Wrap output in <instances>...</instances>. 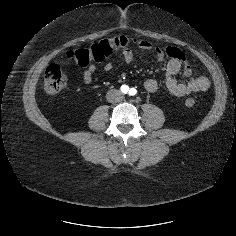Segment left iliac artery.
Returning <instances> with one entry per match:
<instances>
[{"instance_id":"44dca946","label":"left iliac artery","mask_w":236,"mask_h":236,"mask_svg":"<svg viewBox=\"0 0 236 236\" xmlns=\"http://www.w3.org/2000/svg\"><path fill=\"white\" fill-rule=\"evenodd\" d=\"M137 93V90L135 88H131L129 90V95L134 96Z\"/></svg>"}]
</instances>
